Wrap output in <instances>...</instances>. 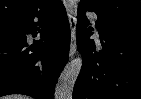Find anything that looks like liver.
<instances>
[{"instance_id":"obj_1","label":"liver","mask_w":141,"mask_h":99,"mask_svg":"<svg viewBox=\"0 0 141 99\" xmlns=\"http://www.w3.org/2000/svg\"><path fill=\"white\" fill-rule=\"evenodd\" d=\"M3 99H30L27 96H22V95H11V96H7Z\"/></svg>"}]
</instances>
